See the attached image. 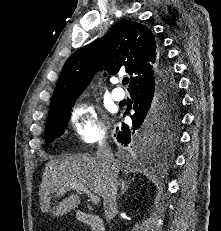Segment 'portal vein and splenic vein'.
I'll use <instances>...</instances> for the list:
<instances>
[{
  "label": "portal vein and splenic vein",
  "instance_id": "obj_1",
  "mask_svg": "<svg viewBox=\"0 0 221 231\" xmlns=\"http://www.w3.org/2000/svg\"><path fill=\"white\" fill-rule=\"evenodd\" d=\"M71 188L76 189V190H80L83 193L87 194L88 197L90 198V200L92 201V203H94V204H98L100 202V198L97 195L91 193L88 190V188H86V187L72 186ZM63 191H64L63 189H60V192H63Z\"/></svg>",
  "mask_w": 221,
  "mask_h": 231
}]
</instances>
